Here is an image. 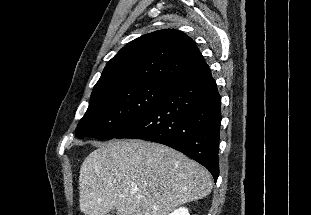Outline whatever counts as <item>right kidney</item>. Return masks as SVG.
Wrapping results in <instances>:
<instances>
[{
  "instance_id": "obj_1",
  "label": "right kidney",
  "mask_w": 311,
  "mask_h": 215,
  "mask_svg": "<svg viewBox=\"0 0 311 215\" xmlns=\"http://www.w3.org/2000/svg\"><path fill=\"white\" fill-rule=\"evenodd\" d=\"M169 215H190L189 211L187 208L185 207H180L176 210H174L172 213H170Z\"/></svg>"
}]
</instances>
